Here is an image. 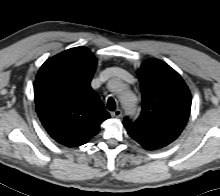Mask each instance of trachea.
<instances>
[{"instance_id": "trachea-1", "label": "trachea", "mask_w": 220, "mask_h": 196, "mask_svg": "<svg viewBox=\"0 0 220 196\" xmlns=\"http://www.w3.org/2000/svg\"><path fill=\"white\" fill-rule=\"evenodd\" d=\"M107 108L108 110H111V111H114L116 109L115 100L112 97L108 98Z\"/></svg>"}]
</instances>
